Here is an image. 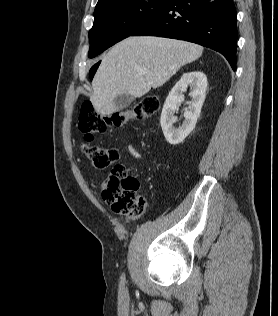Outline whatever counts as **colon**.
I'll return each instance as SVG.
<instances>
[{"mask_svg": "<svg viewBox=\"0 0 278 316\" xmlns=\"http://www.w3.org/2000/svg\"><path fill=\"white\" fill-rule=\"evenodd\" d=\"M159 105L156 96L148 95L127 111L102 116L94 110L91 102L84 101L79 113L78 127L87 141L83 149L92 164L96 168L105 169L119 158L116 148L92 145L95 136L103 135L113 127H121L129 121L150 117L158 111ZM139 189L138 179L125 166L116 165L105 178L101 192L104 201L114 212L136 219L144 213L147 206Z\"/></svg>", "mask_w": 278, "mask_h": 316, "instance_id": "5ec220e1", "label": "colon"}]
</instances>
